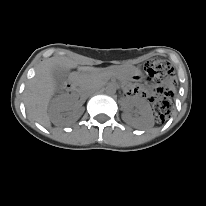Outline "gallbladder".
<instances>
[{
  "instance_id": "obj_1",
  "label": "gallbladder",
  "mask_w": 206,
  "mask_h": 206,
  "mask_svg": "<svg viewBox=\"0 0 206 206\" xmlns=\"http://www.w3.org/2000/svg\"><path fill=\"white\" fill-rule=\"evenodd\" d=\"M71 70L69 68L56 66L52 71V76L55 80L56 85L61 86L70 75Z\"/></svg>"
}]
</instances>
